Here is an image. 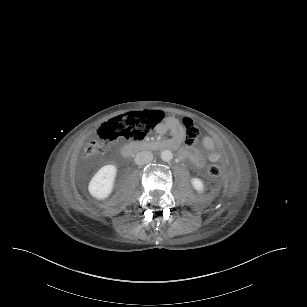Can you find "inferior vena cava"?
<instances>
[{
	"instance_id": "obj_1",
	"label": "inferior vena cava",
	"mask_w": 307,
	"mask_h": 307,
	"mask_svg": "<svg viewBox=\"0 0 307 307\" xmlns=\"http://www.w3.org/2000/svg\"><path fill=\"white\" fill-rule=\"evenodd\" d=\"M153 160V154L150 151H141L135 155L134 162L137 165L148 164Z\"/></svg>"
}]
</instances>
